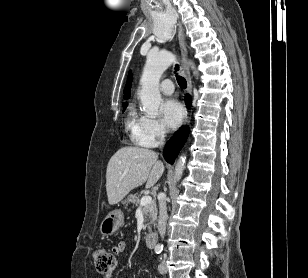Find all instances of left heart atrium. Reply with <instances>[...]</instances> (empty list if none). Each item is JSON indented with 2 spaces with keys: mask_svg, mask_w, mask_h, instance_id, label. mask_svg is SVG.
<instances>
[{
  "mask_svg": "<svg viewBox=\"0 0 308 278\" xmlns=\"http://www.w3.org/2000/svg\"><path fill=\"white\" fill-rule=\"evenodd\" d=\"M162 116L165 125L168 128H177L184 118V108L180 102L175 99L166 100L162 104Z\"/></svg>",
  "mask_w": 308,
  "mask_h": 278,
  "instance_id": "1",
  "label": "left heart atrium"
}]
</instances>
